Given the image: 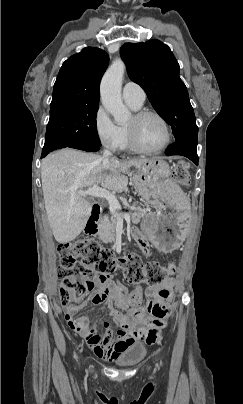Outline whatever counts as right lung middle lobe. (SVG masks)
Listing matches in <instances>:
<instances>
[{"label": "right lung middle lobe", "mask_w": 243, "mask_h": 404, "mask_svg": "<svg viewBox=\"0 0 243 404\" xmlns=\"http://www.w3.org/2000/svg\"><path fill=\"white\" fill-rule=\"evenodd\" d=\"M99 104L69 103L50 107V119L46 129L41 157L49 152L70 147L75 143L101 145L96 116Z\"/></svg>", "instance_id": "obj_1"}]
</instances>
